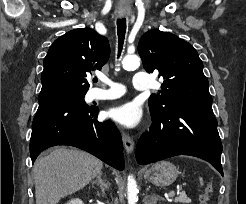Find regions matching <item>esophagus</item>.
Listing matches in <instances>:
<instances>
[{
    "mask_svg": "<svg viewBox=\"0 0 246 204\" xmlns=\"http://www.w3.org/2000/svg\"><path fill=\"white\" fill-rule=\"evenodd\" d=\"M122 141H123V145H124V148L127 151V153H132L134 150V141H133L132 137H130L126 133H123L122 134Z\"/></svg>",
    "mask_w": 246,
    "mask_h": 204,
    "instance_id": "obj_1",
    "label": "esophagus"
}]
</instances>
